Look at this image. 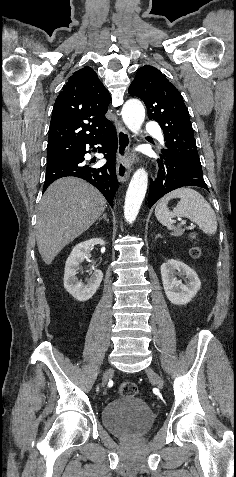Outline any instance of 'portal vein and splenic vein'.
I'll return each mask as SVG.
<instances>
[{"instance_id": "18ae733b", "label": "portal vein and splenic vein", "mask_w": 236, "mask_h": 477, "mask_svg": "<svg viewBox=\"0 0 236 477\" xmlns=\"http://www.w3.org/2000/svg\"><path fill=\"white\" fill-rule=\"evenodd\" d=\"M186 223L185 220H181L180 225H184Z\"/></svg>"}]
</instances>
